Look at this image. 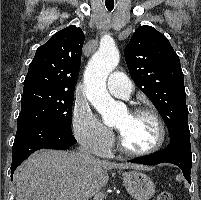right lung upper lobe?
<instances>
[{"mask_svg":"<svg viewBox=\"0 0 201 200\" xmlns=\"http://www.w3.org/2000/svg\"><path fill=\"white\" fill-rule=\"evenodd\" d=\"M84 33L69 26L40 46L24 81L23 93L37 90L73 93L79 71Z\"/></svg>","mask_w":201,"mask_h":200,"instance_id":"1","label":"right lung upper lobe"}]
</instances>
